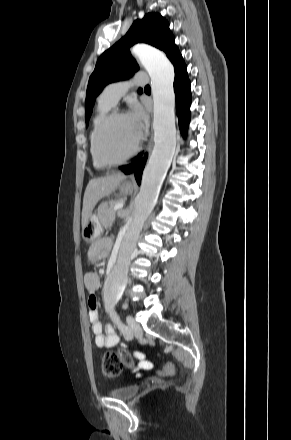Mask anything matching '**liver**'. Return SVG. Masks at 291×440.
<instances>
[{
    "label": "liver",
    "instance_id": "liver-1",
    "mask_svg": "<svg viewBox=\"0 0 291 440\" xmlns=\"http://www.w3.org/2000/svg\"><path fill=\"white\" fill-rule=\"evenodd\" d=\"M126 177L121 173L91 179L83 198L82 228H84L99 200L113 193Z\"/></svg>",
    "mask_w": 291,
    "mask_h": 440
}]
</instances>
